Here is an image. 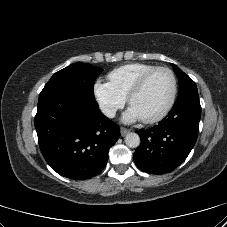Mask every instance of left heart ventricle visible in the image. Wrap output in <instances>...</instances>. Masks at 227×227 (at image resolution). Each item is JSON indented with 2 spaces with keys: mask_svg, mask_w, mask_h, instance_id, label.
<instances>
[{
  "mask_svg": "<svg viewBox=\"0 0 227 227\" xmlns=\"http://www.w3.org/2000/svg\"><path fill=\"white\" fill-rule=\"evenodd\" d=\"M172 89L171 77L166 71L154 73L143 89L136 94L131 107L141 119L158 114L168 103Z\"/></svg>",
  "mask_w": 227,
  "mask_h": 227,
  "instance_id": "left-heart-ventricle-1",
  "label": "left heart ventricle"
}]
</instances>
